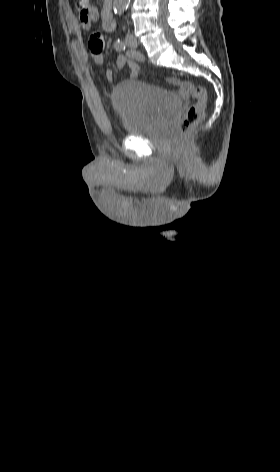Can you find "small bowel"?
Listing matches in <instances>:
<instances>
[{
    "instance_id": "c3829d8e",
    "label": "small bowel",
    "mask_w": 280,
    "mask_h": 472,
    "mask_svg": "<svg viewBox=\"0 0 280 472\" xmlns=\"http://www.w3.org/2000/svg\"><path fill=\"white\" fill-rule=\"evenodd\" d=\"M89 49H90V53H91V60L93 63L95 64H98V65H101L103 64L104 62V56H103V36L101 33L99 32H95L93 33L91 36H90V39H89ZM128 67L130 69V74H131V77L132 78H136L138 77L139 75V67L138 65L136 64V62H134V60H132L131 58H129L127 55L125 54H121L118 56L117 58V61H116V68L118 70L124 68V67ZM113 75H114V72L112 69H108L106 70V72L104 73V76H103V79L106 81V82H112L113 80ZM168 82L172 85H175L177 87H179L181 90H187L188 89V86L183 84L182 82H180V80H178L177 78L175 77H170L168 78Z\"/></svg>"
}]
</instances>
